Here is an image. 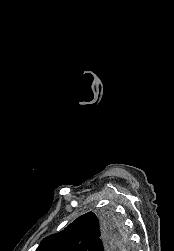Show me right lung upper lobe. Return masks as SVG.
Masks as SVG:
<instances>
[{
    "label": "right lung upper lobe",
    "instance_id": "obj_1",
    "mask_svg": "<svg viewBox=\"0 0 174 251\" xmlns=\"http://www.w3.org/2000/svg\"><path fill=\"white\" fill-rule=\"evenodd\" d=\"M102 218L88 212L63 231L44 238L36 251H94L101 238ZM124 237L119 234L112 245L114 250L123 248ZM99 251H104L101 248Z\"/></svg>",
    "mask_w": 174,
    "mask_h": 251
}]
</instances>
